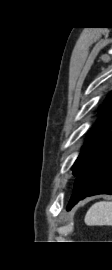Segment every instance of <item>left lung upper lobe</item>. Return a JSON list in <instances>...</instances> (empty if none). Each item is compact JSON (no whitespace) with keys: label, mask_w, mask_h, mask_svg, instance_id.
Returning <instances> with one entry per match:
<instances>
[{"label":"left lung upper lobe","mask_w":112,"mask_h":270,"mask_svg":"<svg viewBox=\"0 0 112 270\" xmlns=\"http://www.w3.org/2000/svg\"><path fill=\"white\" fill-rule=\"evenodd\" d=\"M104 106L107 110L93 128V135L90 136L92 143L80 153L73 166V175L76 178L112 149V135L102 134L112 122V93L105 100Z\"/></svg>","instance_id":"1"}]
</instances>
